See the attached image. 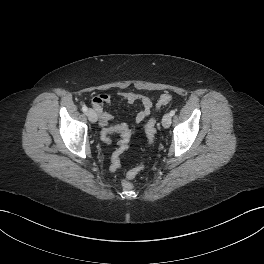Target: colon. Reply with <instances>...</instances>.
<instances>
[{
  "instance_id": "5ec220e1",
  "label": "colon",
  "mask_w": 264,
  "mask_h": 264,
  "mask_svg": "<svg viewBox=\"0 0 264 264\" xmlns=\"http://www.w3.org/2000/svg\"><path fill=\"white\" fill-rule=\"evenodd\" d=\"M171 100H172V95H170L168 93L162 94L159 97L156 106H157V108H160L162 106L167 105ZM145 130H146V135H147L149 143H152L155 139V135L157 132L156 120L154 117H152L148 120V122L146 123V126H145ZM111 135L112 134H110L109 132L102 133L103 141L106 143H110V141H111L110 136ZM129 141H130V137L125 136L122 140L123 146L128 148ZM142 169H143V164H139L126 173L125 178L122 181V186L125 190H130L133 188V184L130 182V180L133 179Z\"/></svg>"
}]
</instances>
